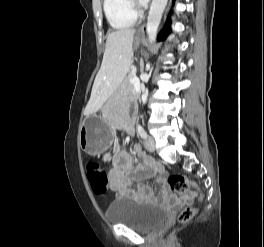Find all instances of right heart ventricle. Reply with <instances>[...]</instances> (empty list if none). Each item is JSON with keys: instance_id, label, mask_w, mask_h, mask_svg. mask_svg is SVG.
<instances>
[{"instance_id": "right-heart-ventricle-1", "label": "right heart ventricle", "mask_w": 264, "mask_h": 247, "mask_svg": "<svg viewBox=\"0 0 264 247\" xmlns=\"http://www.w3.org/2000/svg\"><path fill=\"white\" fill-rule=\"evenodd\" d=\"M103 8L108 22L116 29L129 28L137 21L130 0H104Z\"/></svg>"}]
</instances>
